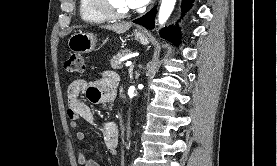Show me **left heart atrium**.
<instances>
[{"label":"left heart atrium","instance_id":"39dd6f15","mask_svg":"<svg viewBox=\"0 0 277 166\" xmlns=\"http://www.w3.org/2000/svg\"><path fill=\"white\" fill-rule=\"evenodd\" d=\"M131 8H140L149 3L150 0H127Z\"/></svg>","mask_w":277,"mask_h":166}]
</instances>
